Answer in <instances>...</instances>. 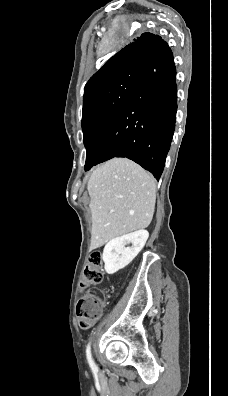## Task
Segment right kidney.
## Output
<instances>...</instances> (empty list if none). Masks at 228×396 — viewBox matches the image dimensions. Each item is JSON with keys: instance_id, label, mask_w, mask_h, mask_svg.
<instances>
[{"instance_id": "ca27d5eb", "label": "right kidney", "mask_w": 228, "mask_h": 396, "mask_svg": "<svg viewBox=\"0 0 228 396\" xmlns=\"http://www.w3.org/2000/svg\"><path fill=\"white\" fill-rule=\"evenodd\" d=\"M148 237V231L138 230L110 240L102 255L105 271L114 274L125 268L142 250Z\"/></svg>"}]
</instances>
